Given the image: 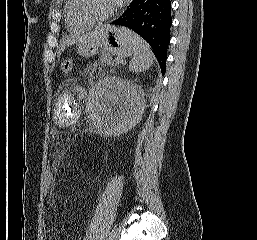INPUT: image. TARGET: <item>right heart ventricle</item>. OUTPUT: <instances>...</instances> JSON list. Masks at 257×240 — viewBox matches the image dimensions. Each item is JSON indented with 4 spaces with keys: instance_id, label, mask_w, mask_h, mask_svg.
<instances>
[{
    "instance_id": "1",
    "label": "right heart ventricle",
    "mask_w": 257,
    "mask_h": 240,
    "mask_svg": "<svg viewBox=\"0 0 257 240\" xmlns=\"http://www.w3.org/2000/svg\"><path fill=\"white\" fill-rule=\"evenodd\" d=\"M65 26L70 32H79L92 27L94 24L81 18L76 10V0H66L64 5Z\"/></svg>"
}]
</instances>
